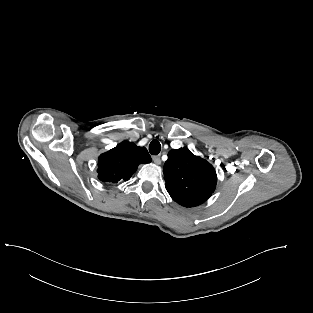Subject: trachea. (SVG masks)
Instances as JSON below:
<instances>
[{"instance_id":"trachea-1","label":"trachea","mask_w":313,"mask_h":313,"mask_svg":"<svg viewBox=\"0 0 313 313\" xmlns=\"http://www.w3.org/2000/svg\"><path fill=\"white\" fill-rule=\"evenodd\" d=\"M160 150H161V144L159 143V141L153 140L149 145V152L152 155H157L159 154Z\"/></svg>"}]
</instances>
